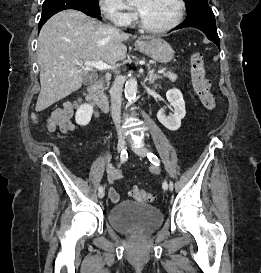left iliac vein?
I'll list each match as a JSON object with an SVG mask.
<instances>
[{"instance_id":"left-iliac-vein-1","label":"left iliac vein","mask_w":261,"mask_h":273,"mask_svg":"<svg viewBox=\"0 0 261 273\" xmlns=\"http://www.w3.org/2000/svg\"><path fill=\"white\" fill-rule=\"evenodd\" d=\"M132 149H133V151L137 154V155H139V156H141V157H146V155H147V149L145 148V147H135V146H132ZM170 189V188H169ZM167 190V189H166ZM171 190V189H170Z\"/></svg>"}]
</instances>
